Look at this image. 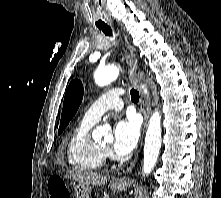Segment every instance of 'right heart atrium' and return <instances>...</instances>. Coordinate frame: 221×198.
<instances>
[{
	"mask_svg": "<svg viewBox=\"0 0 221 198\" xmlns=\"http://www.w3.org/2000/svg\"><path fill=\"white\" fill-rule=\"evenodd\" d=\"M105 154H106V155H108V154H109V152H108V151H105Z\"/></svg>",
	"mask_w": 221,
	"mask_h": 198,
	"instance_id": "obj_1",
	"label": "right heart atrium"
}]
</instances>
